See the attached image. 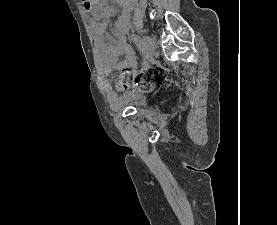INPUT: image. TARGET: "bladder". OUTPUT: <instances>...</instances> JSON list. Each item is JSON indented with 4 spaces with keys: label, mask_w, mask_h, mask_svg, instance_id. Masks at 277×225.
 I'll list each match as a JSON object with an SVG mask.
<instances>
[{
    "label": "bladder",
    "mask_w": 277,
    "mask_h": 225,
    "mask_svg": "<svg viewBox=\"0 0 277 225\" xmlns=\"http://www.w3.org/2000/svg\"><path fill=\"white\" fill-rule=\"evenodd\" d=\"M147 106V100L142 92L137 90L128 91L119 102V107H134L142 110Z\"/></svg>",
    "instance_id": "1"
}]
</instances>
